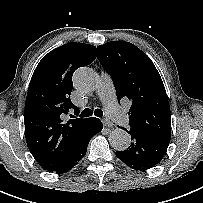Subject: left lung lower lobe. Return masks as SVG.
Listing matches in <instances>:
<instances>
[{"label":"left lung lower lobe","instance_id":"0a47b994","mask_svg":"<svg viewBox=\"0 0 203 203\" xmlns=\"http://www.w3.org/2000/svg\"><path fill=\"white\" fill-rule=\"evenodd\" d=\"M127 132L131 135L130 147L124 151H116V156L127 166L144 171L156 166L163 159L169 142L137 130Z\"/></svg>","mask_w":203,"mask_h":203}]
</instances>
